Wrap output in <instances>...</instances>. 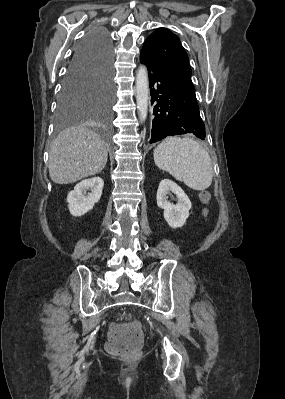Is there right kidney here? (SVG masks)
<instances>
[{
	"instance_id": "1",
	"label": "right kidney",
	"mask_w": 285,
	"mask_h": 399,
	"mask_svg": "<svg viewBox=\"0 0 285 399\" xmlns=\"http://www.w3.org/2000/svg\"><path fill=\"white\" fill-rule=\"evenodd\" d=\"M104 181L100 177L85 179L78 183L67 196L68 208L73 216L90 211L101 198ZM90 190L86 195V192Z\"/></svg>"
}]
</instances>
